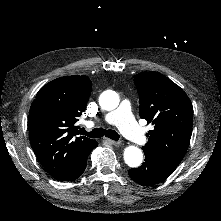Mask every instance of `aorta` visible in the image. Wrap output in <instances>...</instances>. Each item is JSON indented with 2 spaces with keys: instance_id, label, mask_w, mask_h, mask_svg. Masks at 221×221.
<instances>
[{
  "instance_id": "obj_1",
  "label": "aorta",
  "mask_w": 221,
  "mask_h": 221,
  "mask_svg": "<svg viewBox=\"0 0 221 221\" xmlns=\"http://www.w3.org/2000/svg\"><path fill=\"white\" fill-rule=\"evenodd\" d=\"M99 104L104 110H114L119 105V96L114 91L103 93L99 98ZM124 161L132 168L139 167L143 162V153L136 146H128L124 150Z\"/></svg>"
}]
</instances>
